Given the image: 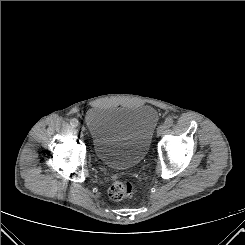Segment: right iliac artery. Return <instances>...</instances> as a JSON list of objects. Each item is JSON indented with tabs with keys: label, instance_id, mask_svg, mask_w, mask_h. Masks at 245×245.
Instances as JSON below:
<instances>
[{
	"label": "right iliac artery",
	"instance_id": "82829eb1",
	"mask_svg": "<svg viewBox=\"0 0 245 245\" xmlns=\"http://www.w3.org/2000/svg\"><path fill=\"white\" fill-rule=\"evenodd\" d=\"M78 124H79V122H78V120H77L76 118H72V119L70 120V125H71L72 127H77Z\"/></svg>",
	"mask_w": 245,
	"mask_h": 245
}]
</instances>
